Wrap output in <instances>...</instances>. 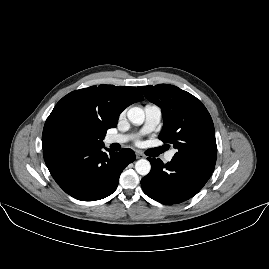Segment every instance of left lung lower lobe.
Wrapping results in <instances>:
<instances>
[{
    "label": "left lung lower lobe",
    "mask_w": 269,
    "mask_h": 269,
    "mask_svg": "<svg viewBox=\"0 0 269 269\" xmlns=\"http://www.w3.org/2000/svg\"><path fill=\"white\" fill-rule=\"evenodd\" d=\"M150 173L142 178L144 193L166 205L181 203L197 194L213 171L173 158L164 164L160 159L148 158Z\"/></svg>",
    "instance_id": "left-lung-lower-lobe-1"
}]
</instances>
